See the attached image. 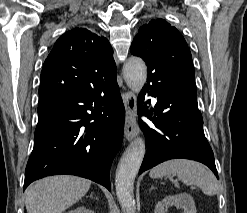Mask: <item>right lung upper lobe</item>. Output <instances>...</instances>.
Returning a JSON list of instances; mask_svg holds the SVG:
<instances>
[{
    "label": "right lung upper lobe",
    "instance_id": "cb5924a9",
    "mask_svg": "<svg viewBox=\"0 0 247 213\" xmlns=\"http://www.w3.org/2000/svg\"><path fill=\"white\" fill-rule=\"evenodd\" d=\"M115 76L109 41L89 29L74 28L56 41L44 63L39 102L62 92L98 86Z\"/></svg>",
    "mask_w": 247,
    "mask_h": 213
}]
</instances>
